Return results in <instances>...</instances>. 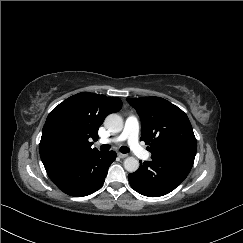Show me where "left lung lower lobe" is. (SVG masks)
Segmentation results:
<instances>
[{"label": "left lung lower lobe", "instance_id": "0a47b994", "mask_svg": "<svg viewBox=\"0 0 243 243\" xmlns=\"http://www.w3.org/2000/svg\"><path fill=\"white\" fill-rule=\"evenodd\" d=\"M194 153H175L140 161L139 169L128 175L131 187L148 197H159L174 190L188 175Z\"/></svg>", "mask_w": 243, "mask_h": 243}]
</instances>
